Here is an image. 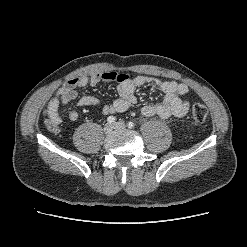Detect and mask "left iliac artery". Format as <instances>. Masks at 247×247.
<instances>
[{
    "instance_id": "left-iliac-artery-1",
    "label": "left iliac artery",
    "mask_w": 247,
    "mask_h": 247,
    "mask_svg": "<svg viewBox=\"0 0 247 247\" xmlns=\"http://www.w3.org/2000/svg\"><path fill=\"white\" fill-rule=\"evenodd\" d=\"M127 125H128L129 128H133L134 127V123L133 122H128Z\"/></svg>"
}]
</instances>
